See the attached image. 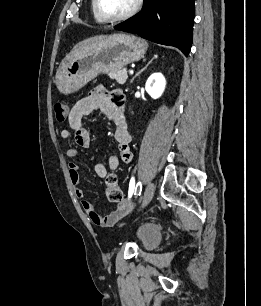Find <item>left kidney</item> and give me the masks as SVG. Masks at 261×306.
<instances>
[{
	"mask_svg": "<svg viewBox=\"0 0 261 306\" xmlns=\"http://www.w3.org/2000/svg\"><path fill=\"white\" fill-rule=\"evenodd\" d=\"M165 86V77L161 73H154L148 78L145 89L153 99H158L163 94Z\"/></svg>",
	"mask_w": 261,
	"mask_h": 306,
	"instance_id": "1",
	"label": "left kidney"
}]
</instances>
